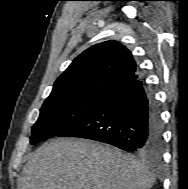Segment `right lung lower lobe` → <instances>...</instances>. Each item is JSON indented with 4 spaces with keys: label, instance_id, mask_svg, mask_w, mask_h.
Masks as SVG:
<instances>
[{
    "label": "right lung lower lobe",
    "instance_id": "right-lung-lower-lobe-1",
    "mask_svg": "<svg viewBox=\"0 0 188 189\" xmlns=\"http://www.w3.org/2000/svg\"><path fill=\"white\" fill-rule=\"evenodd\" d=\"M57 136L96 140L128 152H158L162 124L154 94L143 80H134L107 94Z\"/></svg>",
    "mask_w": 188,
    "mask_h": 189
}]
</instances>
